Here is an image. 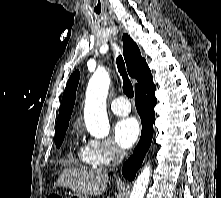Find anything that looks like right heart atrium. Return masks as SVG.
Segmentation results:
<instances>
[{
	"instance_id": "d8ad5b80",
	"label": "right heart atrium",
	"mask_w": 221,
	"mask_h": 198,
	"mask_svg": "<svg viewBox=\"0 0 221 198\" xmlns=\"http://www.w3.org/2000/svg\"><path fill=\"white\" fill-rule=\"evenodd\" d=\"M85 147L90 164L96 167L107 166L124 156L123 150L112 140H90Z\"/></svg>"
}]
</instances>
